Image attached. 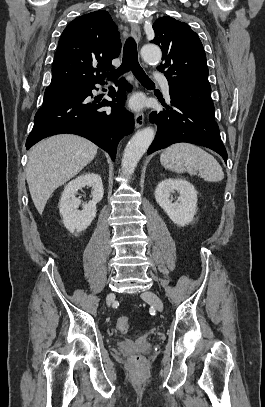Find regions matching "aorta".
<instances>
[{"label": "aorta", "instance_id": "1", "mask_svg": "<svg viewBox=\"0 0 265 407\" xmlns=\"http://www.w3.org/2000/svg\"><path fill=\"white\" fill-rule=\"evenodd\" d=\"M141 55L147 63H158L161 60V50L154 45H144ZM155 137V130L151 127L144 128L135 133L128 142L122 157V172L125 175L132 174L137 163L147 151Z\"/></svg>", "mask_w": 265, "mask_h": 407}]
</instances>
